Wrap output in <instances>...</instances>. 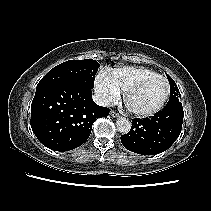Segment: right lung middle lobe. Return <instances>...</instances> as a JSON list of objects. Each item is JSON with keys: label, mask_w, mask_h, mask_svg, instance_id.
Returning a JSON list of instances; mask_svg holds the SVG:
<instances>
[{"label": "right lung middle lobe", "mask_w": 211, "mask_h": 211, "mask_svg": "<svg viewBox=\"0 0 211 211\" xmlns=\"http://www.w3.org/2000/svg\"><path fill=\"white\" fill-rule=\"evenodd\" d=\"M100 64L91 59L69 60L51 69L38 83L36 90L57 84H77L93 88Z\"/></svg>", "instance_id": "right-lung-middle-lobe-1"}]
</instances>
